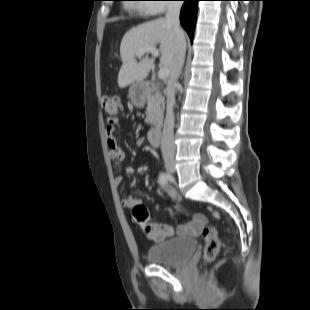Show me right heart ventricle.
Wrapping results in <instances>:
<instances>
[{"label":"right heart ventricle","instance_id":"e07e8e85","mask_svg":"<svg viewBox=\"0 0 310 310\" xmlns=\"http://www.w3.org/2000/svg\"><path fill=\"white\" fill-rule=\"evenodd\" d=\"M140 10L144 13H150L149 9L147 8V6H143L140 8Z\"/></svg>","mask_w":310,"mask_h":310}]
</instances>
